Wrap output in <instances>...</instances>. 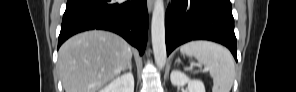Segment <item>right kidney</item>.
<instances>
[{"mask_svg": "<svg viewBox=\"0 0 296 92\" xmlns=\"http://www.w3.org/2000/svg\"><path fill=\"white\" fill-rule=\"evenodd\" d=\"M100 92H134V77L131 73L123 74L102 88Z\"/></svg>", "mask_w": 296, "mask_h": 92, "instance_id": "obj_1", "label": "right kidney"}]
</instances>
